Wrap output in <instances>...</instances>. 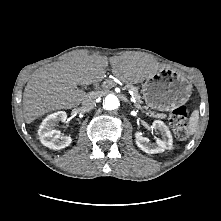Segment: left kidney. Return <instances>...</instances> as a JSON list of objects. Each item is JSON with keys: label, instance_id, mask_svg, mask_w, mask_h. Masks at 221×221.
I'll list each match as a JSON object with an SVG mask.
<instances>
[{"label": "left kidney", "instance_id": "5707ae66", "mask_svg": "<svg viewBox=\"0 0 221 221\" xmlns=\"http://www.w3.org/2000/svg\"><path fill=\"white\" fill-rule=\"evenodd\" d=\"M154 129L161 132L162 139L157 138L156 145L150 143V140L142 136L140 131L136 132V144L144 152L148 154H156L164 152L166 149H171L173 146V139L169 128L164 124L163 121L155 120L152 124Z\"/></svg>", "mask_w": 221, "mask_h": 221}]
</instances>
